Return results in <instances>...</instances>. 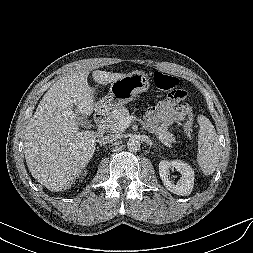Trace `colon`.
<instances>
[{
    "mask_svg": "<svg viewBox=\"0 0 253 253\" xmlns=\"http://www.w3.org/2000/svg\"><path fill=\"white\" fill-rule=\"evenodd\" d=\"M153 78L155 86L160 90L168 91L170 97L180 99L185 97V91L180 88V81L177 77L157 71ZM185 126L191 130V121L188 120Z\"/></svg>",
    "mask_w": 253,
    "mask_h": 253,
    "instance_id": "obj_1",
    "label": "colon"
}]
</instances>
